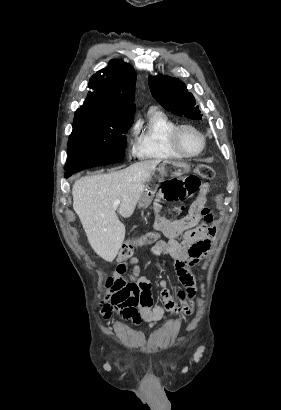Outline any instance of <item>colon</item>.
<instances>
[{"mask_svg": "<svg viewBox=\"0 0 281 410\" xmlns=\"http://www.w3.org/2000/svg\"><path fill=\"white\" fill-rule=\"evenodd\" d=\"M214 170L206 164H198L195 174L184 179L167 181L162 186V198L167 202H181L191 196L199 187L200 180H210L214 177ZM175 213V211H173ZM157 239V234L150 232L135 239L127 240L121 246L117 259L120 262L128 260L134 249L138 246L152 243Z\"/></svg>", "mask_w": 281, "mask_h": 410, "instance_id": "colon-1", "label": "colon"}]
</instances>
